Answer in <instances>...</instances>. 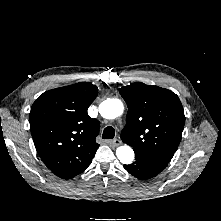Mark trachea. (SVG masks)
I'll use <instances>...</instances> for the list:
<instances>
[{
	"instance_id": "trachea-1",
	"label": "trachea",
	"mask_w": 221,
	"mask_h": 221,
	"mask_svg": "<svg viewBox=\"0 0 221 221\" xmlns=\"http://www.w3.org/2000/svg\"><path fill=\"white\" fill-rule=\"evenodd\" d=\"M115 136V130L113 127L108 126L104 129L102 138L103 139H113Z\"/></svg>"
}]
</instances>
